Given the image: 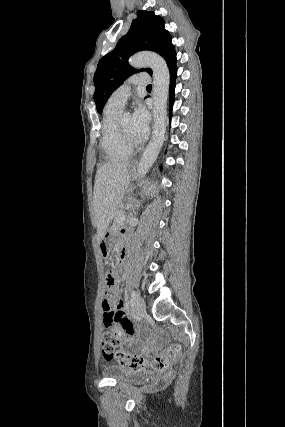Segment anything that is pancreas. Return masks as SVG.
Listing matches in <instances>:
<instances>
[{
    "label": "pancreas",
    "mask_w": 285,
    "mask_h": 427,
    "mask_svg": "<svg viewBox=\"0 0 285 427\" xmlns=\"http://www.w3.org/2000/svg\"><path fill=\"white\" fill-rule=\"evenodd\" d=\"M122 214H124V211L123 210H118L117 212H116V215H115V220H114V225H113V227L114 228H117L118 226H119V224H120V216L122 215Z\"/></svg>",
    "instance_id": "obj_1"
}]
</instances>
